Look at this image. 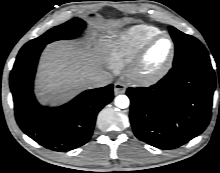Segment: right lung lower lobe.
<instances>
[{"instance_id": "obj_1", "label": "right lung lower lobe", "mask_w": 220, "mask_h": 173, "mask_svg": "<svg viewBox=\"0 0 220 173\" xmlns=\"http://www.w3.org/2000/svg\"><path fill=\"white\" fill-rule=\"evenodd\" d=\"M44 47L20 51L11 71L16 120L25 134L45 148L73 150L90 139L98 112L113 99V85L84 91L61 107L40 106L33 94V80Z\"/></svg>"}]
</instances>
